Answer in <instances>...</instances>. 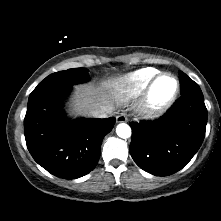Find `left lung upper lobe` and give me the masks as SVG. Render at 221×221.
Returning a JSON list of instances; mask_svg holds the SVG:
<instances>
[{"instance_id":"1","label":"left lung upper lobe","mask_w":221,"mask_h":221,"mask_svg":"<svg viewBox=\"0 0 221 221\" xmlns=\"http://www.w3.org/2000/svg\"><path fill=\"white\" fill-rule=\"evenodd\" d=\"M180 76V94L181 96L188 94L202 95V91L197 83L190 79L185 73L179 72Z\"/></svg>"}]
</instances>
